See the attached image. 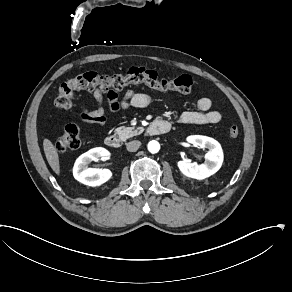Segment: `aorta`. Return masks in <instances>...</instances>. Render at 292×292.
<instances>
[{"mask_svg": "<svg viewBox=\"0 0 292 292\" xmlns=\"http://www.w3.org/2000/svg\"><path fill=\"white\" fill-rule=\"evenodd\" d=\"M148 150L150 153H157L160 150V144L157 141H151L148 144Z\"/></svg>", "mask_w": 292, "mask_h": 292, "instance_id": "1", "label": "aorta"}]
</instances>
